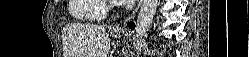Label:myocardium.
I'll return each mask as SVG.
<instances>
[{"label":"myocardium","instance_id":"1","mask_svg":"<svg viewBox=\"0 0 249 57\" xmlns=\"http://www.w3.org/2000/svg\"><path fill=\"white\" fill-rule=\"evenodd\" d=\"M104 3L107 11H114L117 9V4L112 0H104Z\"/></svg>","mask_w":249,"mask_h":57}]
</instances>
